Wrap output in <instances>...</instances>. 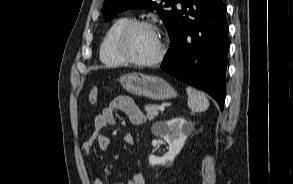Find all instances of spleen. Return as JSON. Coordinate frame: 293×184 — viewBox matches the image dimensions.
I'll return each instance as SVG.
<instances>
[{"mask_svg": "<svg viewBox=\"0 0 293 184\" xmlns=\"http://www.w3.org/2000/svg\"><path fill=\"white\" fill-rule=\"evenodd\" d=\"M188 106L193 112H203L208 109L209 101L205 94L191 87L186 88Z\"/></svg>", "mask_w": 293, "mask_h": 184, "instance_id": "3e777b00", "label": "spleen"}]
</instances>
